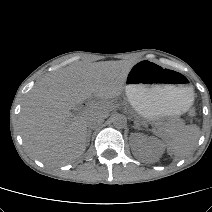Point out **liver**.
I'll list each match as a JSON object with an SVG mask.
<instances>
[{
    "label": "liver",
    "instance_id": "6515ba94",
    "mask_svg": "<svg viewBox=\"0 0 212 212\" xmlns=\"http://www.w3.org/2000/svg\"><path fill=\"white\" fill-rule=\"evenodd\" d=\"M132 66L128 61L77 63L39 82L20 113V133L28 153L48 165L79 158L87 146V117L108 116V101L121 95ZM90 97L99 101L77 115L70 112Z\"/></svg>",
    "mask_w": 212,
    "mask_h": 212
}]
</instances>
